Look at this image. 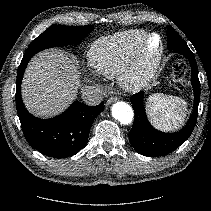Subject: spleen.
<instances>
[{"label": "spleen", "mask_w": 211, "mask_h": 211, "mask_svg": "<svg viewBox=\"0 0 211 211\" xmlns=\"http://www.w3.org/2000/svg\"><path fill=\"white\" fill-rule=\"evenodd\" d=\"M146 108L150 121L156 128L171 131L183 125L187 102L176 96L153 94L148 97Z\"/></svg>", "instance_id": "1"}]
</instances>
